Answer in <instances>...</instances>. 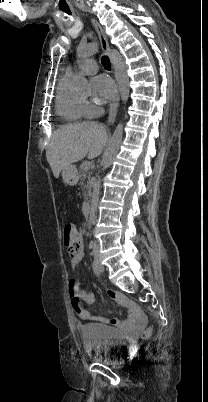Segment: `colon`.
Here are the masks:
<instances>
[{
    "instance_id": "1",
    "label": "colon",
    "mask_w": 208,
    "mask_h": 402,
    "mask_svg": "<svg viewBox=\"0 0 208 402\" xmlns=\"http://www.w3.org/2000/svg\"><path fill=\"white\" fill-rule=\"evenodd\" d=\"M78 228L73 222H66L62 226V239L67 244H74L78 238ZM73 309L76 313H83L85 311V304L83 299L78 296H74L71 300Z\"/></svg>"
}]
</instances>
